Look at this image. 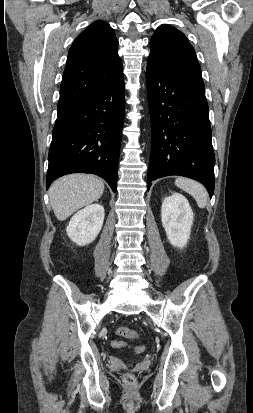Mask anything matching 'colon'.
<instances>
[{"label": "colon", "instance_id": "obj_1", "mask_svg": "<svg viewBox=\"0 0 253 413\" xmlns=\"http://www.w3.org/2000/svg\"><path fill=\"white\" fill-rule=\"evenodd\" d=\"M115 332L120 337H124L128 339L138 338V333L125 325H118L115 329ZM112 346L114 348H122L124 347V343L122 341H113ZM144 351H145V346H138L135 348V352L137 353H141ZM123 380L129 386H133L136 382L135 376L132 373L124 374Z\"/></svg>", "mask_w": 253, "mask_h": 413}]
</instances>
